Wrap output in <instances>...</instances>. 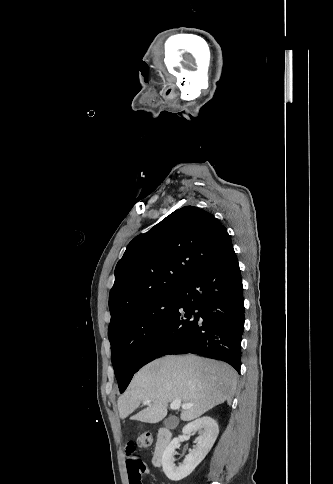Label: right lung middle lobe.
<instances>
[{
    "label": "right lung middle lobe",
    "mask_w": 333,
    "mask_h": 484,
    "mask_svg": "<svg viewBox=\"0 0 333 484\" xmlns=\"http://www.w3.org/2000/svg\"><path fill=\"white\" fill-rule=\"evenodd\" d=\"M178 296L177 291L154 297L109 325L111 360L121 393L135 373L144 347L176 308Z\"/></svg>",
    "instance_id": "1"
}]
</instances>
